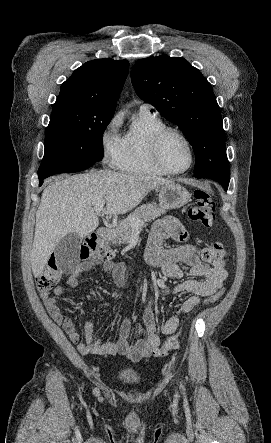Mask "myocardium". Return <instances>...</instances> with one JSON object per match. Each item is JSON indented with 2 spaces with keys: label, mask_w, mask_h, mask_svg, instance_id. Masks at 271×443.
<instances>
[{
  "label": "myocardium",
  "mask_w": 271,
  "mask_h": 443,
  "mask_svg": "<svg viewBox=\"0 0 271 443\" xmlns=\"http://www.w3.org/2000/svg\"><path fill=\"white\" fill-rule=\"evenodd\" d=\"M169 134L179 135L186 142V144L189 147L191 160H190L189 165L184 169H181V170L171 169L163 160L161 148H162V144H163L165 138ZM151 154H152V158H153V161L155 162V164L160 169H162L165 173H168V174H183V173L189 171L195 163V148H194L193 143L191 142L189 137L184 132H182L180 129H177L174 127L166 126L155 133V135L153 136L152 142H151Z\"/></svg>",
  "instance_id": "obj_1"
}]
</instances>
